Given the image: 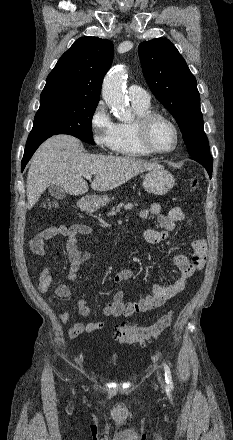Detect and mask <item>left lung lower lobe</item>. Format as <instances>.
Instances as JSON below:
<instances>
[{
  "label": "left lung lower lobe",
  "mask_w": 233,
  "mask_h": 440,
  "mask_svg": "<svg viewBox=\"0 0 233 440\" xmlns=\"http://www.w3.org/2000/svg\"><path fill=\"white\" fill-rule=\"evenodd\" d=\"M191 159L199 162L208 172L210 178L212 176L213 158L211 154H205L201 156H191Z\"/></svg>",
  "instance_id": "left-lung-lower-lobe-1"
}]
</instances>
